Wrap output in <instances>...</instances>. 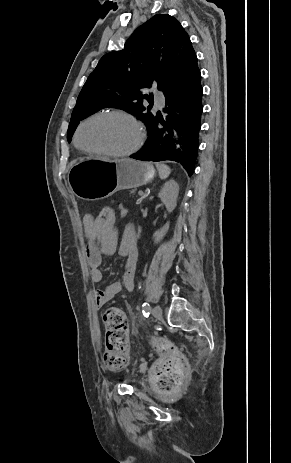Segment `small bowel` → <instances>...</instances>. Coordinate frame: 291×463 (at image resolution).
Returning a JSON list of instances; mask_svg holds the SVG:
<instances>
[{
	"label": "small bowel",
	"instance_id": "c3829d8e",
	"mask_svg": "<svg viewBox=\"0 0 291 463\" xmlns=\"http://www.w3.org/2000/svg\"><path fill=\"white\" fill-rule=\"evenodd\" d=\"M83 230L87 238L86 259L90 279L93 284L101 286L94 293L95 306L100 309L123 288L127 291L134 288L135 267L139 255L135 228L133 225H126L119 241L116 226H107L106 230L101 231L98 229L96 216L87 214L83 218ZM115 253L124 258L122 279L103 285V274L100 270L102 256Z\"/></svg>",
	"mask_w": 291,
	"mask_h": 463
}]
</instances>
